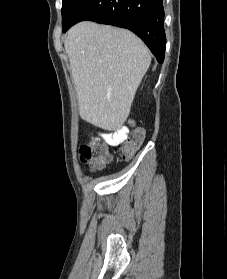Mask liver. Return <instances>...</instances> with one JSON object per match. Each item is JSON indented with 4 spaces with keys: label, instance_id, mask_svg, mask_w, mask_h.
I'll use <instances>...</instances> for the list:
<instances>
[{
    "label": "liver",
    "instance_id": "1",
    "mask_svg": "<svg viewBox=\"0 0 227 279\" xmlns=\"http://www.w3.org/2000/svg\"><path fill=\"white\" fill-rule=\"evenodd\" d=\"M64 47L80 117L104 130L120 129L150 66L149 49L129 30L89 21L70 28Z\"/></svg>",
    "mask_w": 227,
    "mask_h": 279
}]
</instances>
